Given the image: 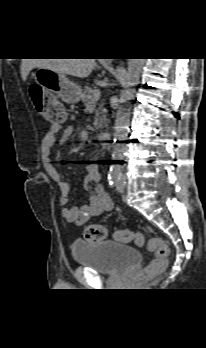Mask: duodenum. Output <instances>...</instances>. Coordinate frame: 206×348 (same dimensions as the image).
Instances as JSON below:
<instances>
[{
	"label": "duodenum",
	"instance_id": "410a0bca",
	"mask_svg": "<svg viewBox=\"0 0 206 348\" xmlns=\"http://www.w3.org/2000/svg\"><path fill=\"white\" fill-rule=\"evenodd\" d=\"M110 136H111L110 132H108V131H103V132H101V133L99 134L98 138H99V140H101V141H107V140L110 139Z\"/></svg>",
	"mask_w": 206,
	"mask_h": 348
}]
</instances>
